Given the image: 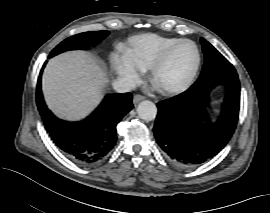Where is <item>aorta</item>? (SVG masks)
Listing matches in <instances>:
<instances>
[{"mask_svg":"<svg viewBox=\"0 0 270 213\" xmlns=\"http://www.w3.org/2000/svg\"><path fill=\"white\" fill-rule=\"evenodd\" d=\"M137 113L141 119L145 121H152L157 115V107L153 102L144 100L139 103Z\"/></svg>","mask_w":270,"mask_h":213,"instance_id":"obj_1","label":"aorta"}]
</instances>
